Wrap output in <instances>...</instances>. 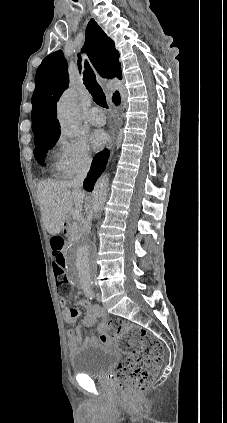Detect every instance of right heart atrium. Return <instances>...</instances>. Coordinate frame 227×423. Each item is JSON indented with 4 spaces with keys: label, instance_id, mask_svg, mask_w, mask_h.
I'll return each mask as SVG.
<instances>
[{
    "label": "right heart atrium",
    "instance_id": "1",
    "mask_svg": "<svg viewBox=\"0 0 227 423\" xmlns=\"http://www.w3.org/2000/svg\"><path fill=\"white\" fill-rule=\"evenodd\" d=\"M56 167L64 177L87 172L93 164V155L82 137H59L56 143Z\"/></svg>",
    "mask_w": 227,
    "mask_h": 423
}]
</instances>
